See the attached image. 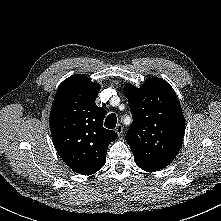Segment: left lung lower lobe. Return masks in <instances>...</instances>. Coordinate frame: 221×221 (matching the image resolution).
I'll return each instance as SVG.
<instances>
[{"label": "left lung lower lobe", "mask_w": 221, "mask_h": 221, "mask_svg": "<svg viewBox=\"0 0 221 221\" xmlns=\"http://www.w3.org/2000/svg\"><path fill=\"white\" fill-rule=\"evenodd\" d=\"M154 171H158V170H149L148 172H154Z\"/></svg>", "instance_id": "1"}]
</instances>
